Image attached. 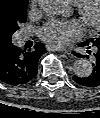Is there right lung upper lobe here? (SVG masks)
<instances>
[{
    "label": "right lung upper lobe",
    "mask_w": 100,
    "mask_h": 118,
    "mask_svg": "<svg viewBox=\"0 0 100 118\" xmlns=\"http://www.w3.org/2000/svg\"><path fill=\"white\" fill-rule=\"evenodd\" d=\"M6 1H8V0H0V17H1V13H2V11H3V5H4V3L6 2ZM5 45H7V43H5L1 38H0V47H2V46H5Z\"/></svg>",
    "instance_id": "1"
}]
</instances>
